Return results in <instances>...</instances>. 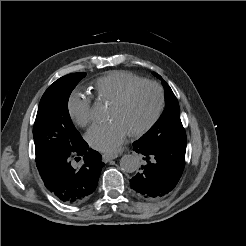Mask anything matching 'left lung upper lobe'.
<instances>
[{
    "label": "left lung upper lobe",
    "mask_w": 246,
    "mask_h": 246,
    "mask_svg": "<svg viewBox=\"0 0 246 246\" xmlns=\"http://www.w3.org/2000/svg\"><path fill=\"white\" fill-rule=\"evenodd\" d=\"M154 75L162 79L157 73H154ZM162 84L165 90V109L158 121L140 140L151 144H186L187 138L180 119L179 103L170 86L164 80Z\"/></svg>",
    "instance_id": "1"
}]
</instances>
